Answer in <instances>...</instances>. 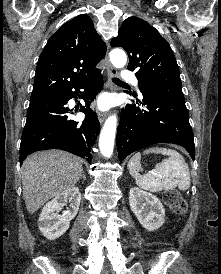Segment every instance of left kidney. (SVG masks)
Listing matches in <instances>:
<instances>
[{"label":"left kidney","instance_id":"5707ae66","mask_svg":"<svg viewBox=\"0 0 221 274\" xmlns=\"http://www.w3.org/2000/svg\"><path fill=\"white\" fill-rule=\"evenodd\" d=\"M129 204L132 212L146 230L155 231L164 224L165 209L155 195L138 187H132L129 193Z\"/></svg>","mask_w":221,"mask_h":274}]
</instances>
